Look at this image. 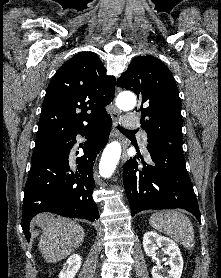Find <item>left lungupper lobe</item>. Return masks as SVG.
<instances>
[{"instance_id":"obj_1","label":"left lung upper lobe","mask_w":221,"mask_h":278,"mask_svg":"<svg viewBox=\"0 0 221 278\" xmlns=\"http://www.w3.org/2000/svg\"><path fill=\"white\" fill-rule=\"evenodd\" d=\"M117 86L133 91L140 99L141 128L148 143H183L181 102L177 85L169 69L154 56L132 60Z\"/></svg>"}]
</instances>
